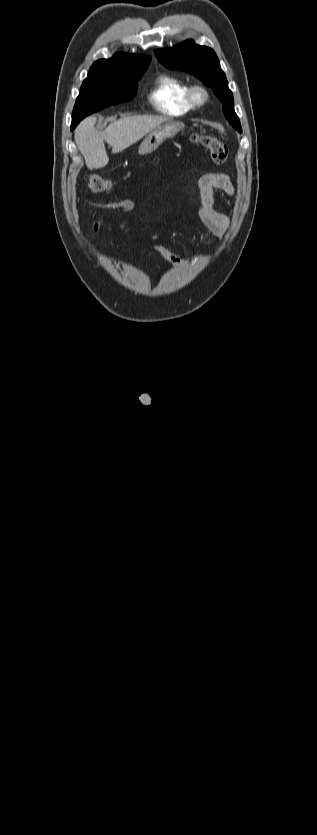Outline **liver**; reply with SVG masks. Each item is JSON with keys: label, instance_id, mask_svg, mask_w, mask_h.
Instances as JSON below:
<instances>
[{"label": "liver", "instance_id": "1", "mask_svg": "<svg viewBox=\"0 0 317 835\" xmlns=\"http://www.w3.org/2000/svg\"><path fill=\"white\" fill-rule=\"evenodd\" d=\"M162 117L127 116L110 123L103 132L95 128L96 117L84 119L75 130V142L89 169L105 167L109 162L104 141L119 153L142 139L156 126L165 122Z\"/></svg>", "mask_w": 317, "mask_h": 835}]
</instances>
